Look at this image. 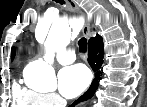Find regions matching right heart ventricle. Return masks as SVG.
I'll return each instance as SVG.
<instances>
[{
	"instance_id": "obj_1",
	"label": "right heart ventricle",
	"mask_w": 147,
	"mask_h": 107,
	"mask_svg": "<svg viewBox=\"0 0 147 107\" xmlns=\"http://www.w3.org/2000/svg\"><path fill=\"white\" fill-rule=\"evenodd\" d=\"M12 98L15 107H34L41 105V94L23 87L18 82H14L12 86Z\"/></svg>"
}]
</instances>
